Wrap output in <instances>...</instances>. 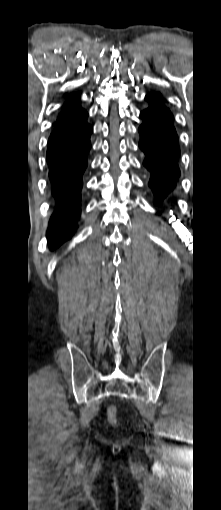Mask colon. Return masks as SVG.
<instances>
[{"instance_id": "1", "label": "colon", "mask_w": 221, "mask_h": 510, "mask_svg": "<svg viewBox=\"0 0 221 510\" xmlns=\"http://www.w3.org/2000/svg\"><path fill=\"white\" fill-rule=\"evenodd\" d=\"M107 415H108V421L111 424H114L116 422V406L115 405L112 404L108 407Z\"/></svg>"}]
</instances>
